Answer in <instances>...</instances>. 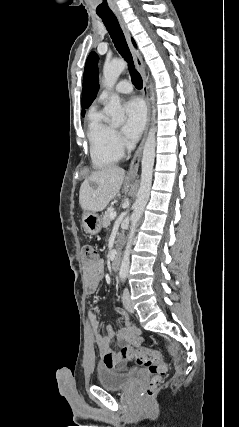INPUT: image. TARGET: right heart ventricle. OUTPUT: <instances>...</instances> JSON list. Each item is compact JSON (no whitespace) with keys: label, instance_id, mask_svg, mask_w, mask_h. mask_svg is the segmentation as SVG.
<instances>
[{"label":"right heart ventricle","instance_id":"e07e8e85","mask_svg":"<svg viewBox=\"0 0 239 427\" xmlns=\"http://www.w3.org/2000/svg\"><path fill=\"white\" fill-rule=\"evenodd\" d=\"M114 132L104 120L101 111L94 109L89 113L87 137L90 157L95 168H105L120 160L122 152L115 142Z\"/></svg>","mask_w":239,"mask_h":427}]
</instances>
